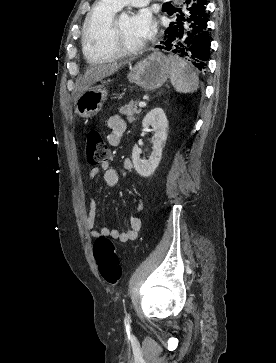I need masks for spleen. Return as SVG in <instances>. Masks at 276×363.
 Returning a JSON list of instances; mask_svg holds the SVG:
<instances>
[{"label":"spleen","instance_id":"spleen-1","mask_svg":"<svg viewBox=\"0 0 276 363\" xmlns=\"http://www.w3.org/2000/svg\"><path fill=\"white\" fill-rule=\"evenodd\" d=\"M171 62V83L179 93H193L199 88V78L187 62L177 56L169 57Z\"/></svg>","mask_w":276,"mask_h":363}]
</instances>
